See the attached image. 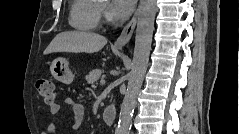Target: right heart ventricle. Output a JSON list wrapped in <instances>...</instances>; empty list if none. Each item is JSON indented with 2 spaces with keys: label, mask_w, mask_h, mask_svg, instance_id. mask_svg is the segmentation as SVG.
<instances>
[{
  "label": "right heart ventricle",
  "mask_w": 239,
  "mask_h": 134,
  "mask_svg": "<svg viewBox=\"0 0 239 134\" xmlns=\"http://www.w3.org/2000/svg\"><path fill=\"white\" fill-rule=\"evenodd\" d=\"M99 4L95 0H74L70 7L69 24L80 31H93L99 24Z\"/></svg>",
  "instance_id": "1"
}]
</instances>
